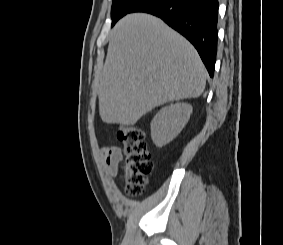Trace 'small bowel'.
Here are the masks:
<instances>
[{
	"mask_svg": "<svg viewBox=\"0 0 283 245\" xmlns=\"http://www.w3.org/2000/svg\"><path fill=\"white\" fill-rule=\"evenodd\" d=\"M100 155L103 160L106 173L109 176L115 175L122 158L121 149L118 146H105L100 149Z\"/></svg>",
	"mask_w": 283,
	"mask_h": 245,
	"instance_id": "obj_1",
	"label": "small bowel"
}]
</instances>
